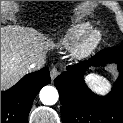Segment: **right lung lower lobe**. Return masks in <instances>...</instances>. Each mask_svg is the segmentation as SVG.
<instances>
[{"instance_id":"1","label":"right lung lower lobe","mask_w":123,"mask_h":123,"mask_svg":"<svg viewBox=\"0 0 123 123\" xmlns=\"http://www.w3.org/2000/svg\"><path fill=\"white\" fill-rule=\"evenodd\" d=\"M49 69L27 74L7 91H1V123H27L39 90L50 83Z\"/></svg>"}]
</instances>
